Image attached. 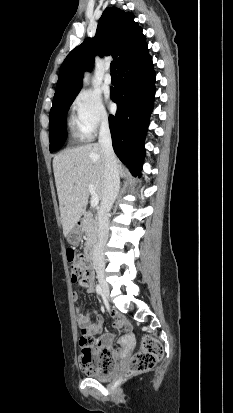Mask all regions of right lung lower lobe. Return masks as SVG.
I'll return each mask as SVG.
<instances>
[{
    "label": "right lung lower lobe",
    "instance_id": "98d812e1",
    "mask_svg": "<svg viewBox=\"0 0 233 413\" xmlns=\"http://www.w3.org/2000/svg\"><path fill=\"white\" fill-rule=\"evenodd\" d=\"M117 72L120 81L111 90V98L118 109L109 116L113 148L130 171L140 176L155 94V72L147 44L121 62Z\"/></svg>",
    "mask_w": 233,
    "mask_h": 413
}]
</instances>
